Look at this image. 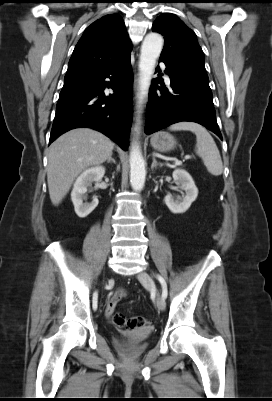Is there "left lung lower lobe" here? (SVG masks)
Instances as JSON below:
<instances>
[{
  "label": "left lung lower lobe",
  "mask_w": 272,
  "mask_h": 401,
  "mask_svg": "<svg viewBox=\"0 0 272 401\" xmlns=\"http://www.w3.org/2000/svg\"><path fill=\"white\" fill-rule=\"evenodd\" d=\"M159 61L166 65L171 90L168 92L161 78L153 80L147 105L145 133L152 134L177 122L192 121L205 126L222 139L208 76L164 58ZM159 83L162 84L161 88Z\"/></svg>",
  "instance_id": "1"
}]
</instances>
